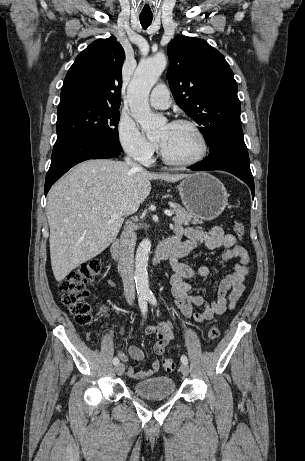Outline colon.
Here are the masks:
<instances>
[{
	"instance_id": "obj_1",
	"label": "colon",
	"mask_w": 305,
	"mask_h": 461,
	"mask_svg": "<svg viewBox=\"0 0 305 461\" xmlns=\"http://www.w3.org/2000/svg\"><path fill=\"white\" fill-rule=\"evenodd\" d=\"M233 232L239 239H242L245 235V228L240 222L235 221ZM102 269L103 260L95 259L71 272L60 282L59 290L62 303L68 308L78 324L87 325L92 322L91 293L88 285L99 278ZM219 335L220 329L217 325H213L208 331V337L211 340H216ZM163 366L167 372H171L175 369V362L172 359H166Z\"/></svg>"
}]
</instances>
